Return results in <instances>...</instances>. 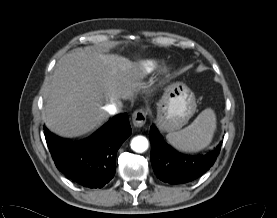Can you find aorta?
<instances>
[{"mask_svg": "<svg viewBox=\"0 0 277 218\" xmlns=\"http://www.w3.org/2000/svg\"><path fill=\"white\" fill-rule=\"evenodd\" d=\"M149 143L146 137L136 136L131 140V149L136 153H143L148 149Z\"/></svg>", "mask_w": 277, "mask_h": 218, "instance_id": "obj_1", "label": "aorta"}]
</instances>
